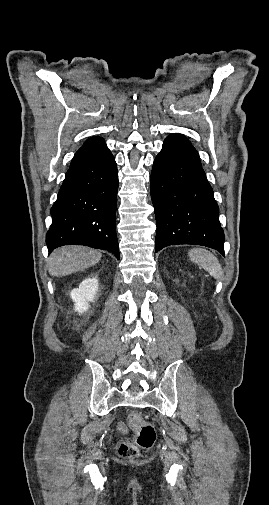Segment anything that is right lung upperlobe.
<instances>
[{
    "mask_svg": "<svg viewBox=\"0 0 269 505\" xmlns=\"http://www.w3.org/2000/svg\"><path fill=\"white\" fill-rule=\"evenodd\" d=\"M104 143V140L100 137H92L88 139L83 146L77 151L76 155H80L82 153L88 152L90 150L95 149L96 147L100 146L101 144ZM75 155V156H76Z\"/></svg>",
    "mask_w": 269,
    "mask_h": 505,
    "instance_id": "obj_1",
    "label": "right lung upper lobe"
}]
</instances>
